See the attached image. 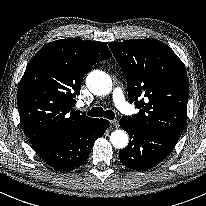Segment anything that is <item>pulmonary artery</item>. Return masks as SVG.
Wrapping results in <instances>:
<instances>
[{"label":"pulmonary artery","instance_id":"e3ab8cb5","mask_svg":"<svg viewBox=\"0 0 206 206\" xmlns=\"http://www.w3.org/2000/svg\"><path fill=\"white\" fill-rule=\"evenodd\" d=\"M112 99L115 106L125 114L131 112V106L125 101L123 91L120 88H114L112 91Z\"/></svg>","mask_w":206,"mask_h":206}]
</instances>
